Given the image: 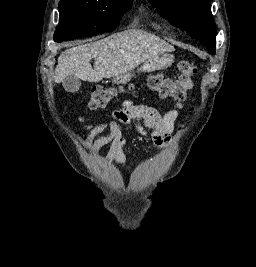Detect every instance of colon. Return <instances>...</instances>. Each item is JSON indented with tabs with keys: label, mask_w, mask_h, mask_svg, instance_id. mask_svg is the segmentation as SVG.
Here are the masks:
<instances>
[{
	"label": "colon",
	"mask_w": 256,
	"mask_h": 267,
	"mask_svg": "<svg viewBox=\"0 0 256 267\" xmlns=\"http://www.w3.org/2000/svg\"><path fill=\"white\" fill-rule=\"evenodd\" d=\"M179 77L176 81L159 74L153 73L147 78V85L162 97H169L175 101L182 102L187 93L194 88V77L198 72L197 66L192 61H181L179 63ZM121 87L118 84H102L96 86L89 94L88 108L90 110L104 109L118 95ZM194 110V106L191 107ZM182 128V124L179 125Z\"/></svg>",
	"instance_id": "1"
}]
</instances>
